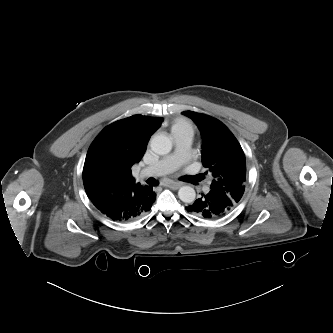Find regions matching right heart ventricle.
Wrapping results in <instances>:
<instances>
[{
  "label": "right heart ventricle",
  "instance_id": "e07e8e85",
  "mask_svg": "<svg viewBox=\"0 0 333 333\" xmlns=\"http://www.w3.org/2000/svg\"><path fill=\"white\" fill-rule=\"evenodd\" d=\"M183 130H191V125L187 121L183 119H178L172 124L171 127L172 134Z\"/></svg>",
  "mask_w": 333,
  "mask_h": 333
}]
</instances>
